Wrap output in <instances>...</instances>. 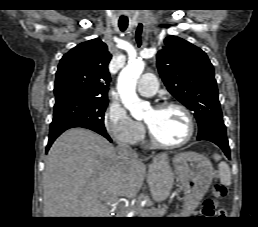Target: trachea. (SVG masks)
<instances>
[{
    "mask_svg": "<svg viewBox=\"0 0 258 227\" xmlns=\"http://www.w3.org/2000/svg\"><path fill=\"white\" fill-rule=\"evenodd\" d=\"M127 26H128V20H126V19L119 20V28L122 32H124L126 30Z\"/></svg>",
    "mask_w": 258,
    "mask_h": 227,
    "instance_id": "3493384b",
    "label": "trachea"
}]
</instances>
